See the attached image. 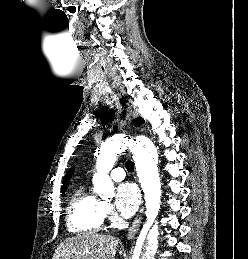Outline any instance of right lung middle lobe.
<instances>
[{
    "label": "right lung middle lobe",
    "instance_id": "1",
    "mask_svg": "<svg viewBox=\"0 0 248 259\" xmlns=\"http://www.w3.org/2000/svg\"><path fill=\"white\" fill-rule=\"evenodd\" d=\"M66 190H62L61 192L64 193Z\"/></svg>",
    "mask_w": 248,
    "mask_h": 259
}]
</instances>
